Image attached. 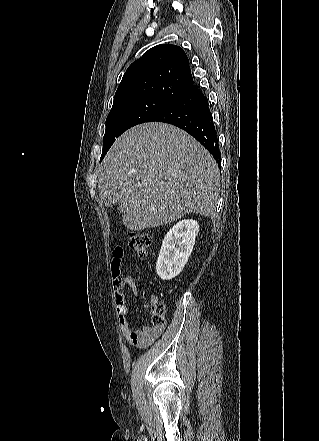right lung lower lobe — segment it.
<instances>
[{
  "instance_id": "98d812e1",
  "label": "right lung lower lobe",
  "mask_w": 319,
  "mask_h": 441,
  "mask_svg": "<svg viewBox=\"0 0 319 441\" xmlns=\"http://www.w3.org/2000/svg\"><path fill=\"white\" fill-rule=\"evenodd\" d=\"M212 120L208 99L193 84L148 122L169 123L185 130L198 140L220 165L221 154Z\"/></svg>"
}]
</instances>
